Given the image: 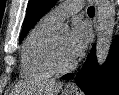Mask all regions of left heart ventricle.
Here are the masks:
<instances>
[{
  "label": "left heart ventricle",
  "mask_w": 119,
  "mask_h": 95,
  "mask_svg": "<svg viewBox=\"0 0 119 95\" xmlns=\"http://www.w3.org/2000/svg\"><path fill=\"white\" fill-rule=\"evenodd\" d=\"M55 42H56L57 51H58V55L61 62L69 63L73 61V59H71V57L68 55L66 51L67 36L61 35V36L55 37Z\"/></svg>",
  "instance_id": "obj_1"
}]
</instances>
